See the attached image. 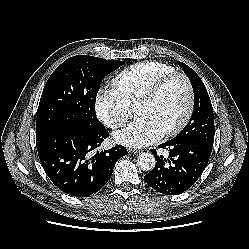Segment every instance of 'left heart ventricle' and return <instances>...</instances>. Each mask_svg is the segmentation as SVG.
<instances>
[{"label":"left heart ventricle","mask_w":249,"mask_h":249,"mask_svg":"<svg viewBox=\"0 0 249 249\" xmlns=\"http://www.w3.org/2000/svg\"><path fill=\"white\" fill-rule=\"evenodd\" d=\"M187 106V91L179 78L170 80L151 102L138 103V116H148L155 120L163 131L174 127L183 117Z\"/></svg>","instance_id":"1"}]
</instances>
